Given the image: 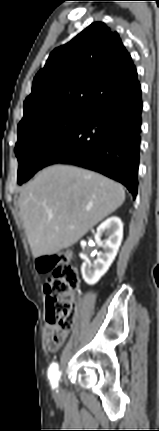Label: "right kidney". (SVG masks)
Segmentation results:
<instances>
[{"label":"right kidney","instance_id":"obj_1","mask_svg":"<svg viewBox=\"0 0 159 431\" xmlns=\"http://www.w3.org/2000/svg\"><path fill=\"white\" fill-rule=\"evenodd\" d=\"M103 235L106 237L104 240L101 239ZM122 238L123 223L116 216L108 218L97 228L95 239L103 251L93 264L86 261L81 267L82 277L88 285L96 284L108 271L118 253Z\"/></svg>","mask_w":159,"mask_h":431}]
</instances>
